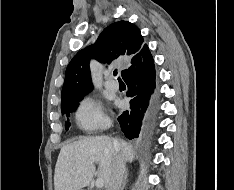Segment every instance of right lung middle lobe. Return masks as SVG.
<instances>
[{
  "instance_id": "dd1d6c3e",
  "label": "right lung middle lobe",
  "mask_w": 234,
  "mask_h": 190,
  "mask_svg": "<svg viewBox=\"0 0 234 190\" xmlns=\"http://www.w3.org/2000/svg\"><path fill=\"white\" fill-rule=\"evenodd\" d=\"M84 95L74 99V100H71L69 102H66V103H63L61 104V111H62V114L66 113L67 116H69V112H72V111H75V109L77 108L78 106V102L83 98ZM70 124L69 122L65 125L66 129L68 130Z\"/></svg>"
}]
</instances>
